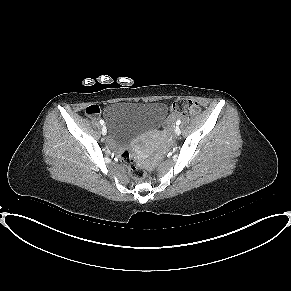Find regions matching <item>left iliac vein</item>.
<instances>
[{
    "label": "left iliac vein",
    "mask_w": 291,
    "mask_h": 291,
    "mask_svg": "<svg viewBox=\"0 0 291 291\" xmlns=\"http://www.w3.org/2000/svg\"><path fill=\"white\" fill-rule=\"evenodd\" d=\"M180 133H181L180 128H179V127H176V128H175V134H176V135H180Z\"/></svg>",
    "instance_id": "left-iliac-vein-1"
}]
</instances>
